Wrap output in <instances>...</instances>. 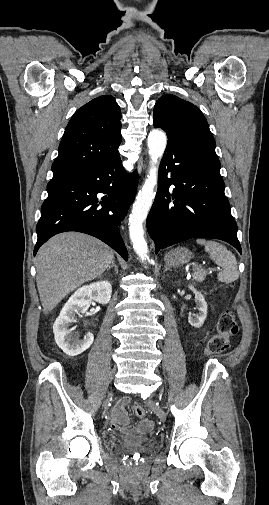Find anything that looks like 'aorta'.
Masks as SVG:
<instances>
[{
	"instance_id": "762f6f07",
	"label": "aorta",
	"mask_w": 269,
	"mask_h": 505,
	"mask_svg": "<svg viewBox=\"0 0 269 505\" xmlns=\"http://www.w3.org/2000/svg\"><path fill=\"white\" fill-rule=\"evenodd\" d=\"M147 144L150 156V168L129 217L130 239L136 254L142 262L148 258V246L144 238L143 223L155 198L159 162L167 144L166 134L162 130L153 129L148 135Z\"/></svg>"
}]
</instances>
